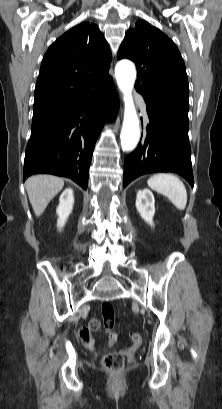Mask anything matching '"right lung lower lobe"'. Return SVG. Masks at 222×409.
<instances>
[{"label":"right lung lower lobe","instance_id":"98d812e1","mask_svg":"<svg viewBox=\"0 0 222 409\" xmlns=\"http://www.w3.org/2000/svg\"><path fill=\"white\" fill-rule=\"evenodd\" d=\"M118 108L109 75L92 82L78 97L34 108L23 181L48 173L68 177L86 189L95 142L105 120L113 121Z\"/></svg>","mask_w":222,"mask_h":409}]
</instances>
